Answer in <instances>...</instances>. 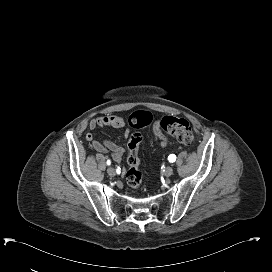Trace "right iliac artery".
Wrapping results in <instances>:
<instances>
[{"label": "right iliac artery", "mask_w": 272, "mask_h": 272, "mask_svg": "<svg viewBox=\"0 0 272 272\" xmlns=\"http://www.w3.org/2000/svg\"><path fill=\"white\" fill-rule=\"evenodd\" d=\"M107 164L110 165V161L109 160L107 161Z\"/></svg>", "instance_id": "82829eb1"}]
</instances>
